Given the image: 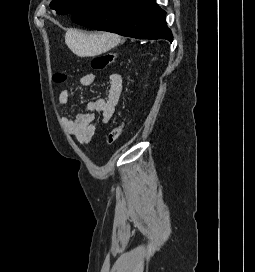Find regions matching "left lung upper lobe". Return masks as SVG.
Masks as SVG:
<instances>
[{"label": "left lung upper lobe", "instance_id": "5c2ea615", "mask_svg": "<svg viewBox=\"0 0 255 272\" xmlns=\"http://www.w3.org/2000/svg\"><path fill=\"white\" fill-rule=\"evenodd\" d=\"M89 1L90 0H53L50 3V7L61 15L73 14Z\"/></svg>", "mask_w": 255, "mask_h": 272}]
</instances>
